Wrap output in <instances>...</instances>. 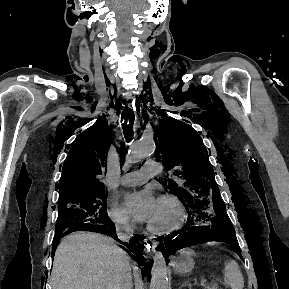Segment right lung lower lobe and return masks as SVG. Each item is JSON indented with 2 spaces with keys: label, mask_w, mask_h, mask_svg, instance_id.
<instances>
[{
  "label": "right lung lower lobe",
  "mask_w": 289,
  "mask_h": 289,
  "mask_svg": "<svg viewBox=\"0 0 289 289\" xmlns=\"http://www.w3.org/2000/svg\"><path fill=\"white\" fill-rule=\"evenodd\" d=\"M74 231H91V232H99L105 235H108L112 237L113 239L121 242L116 234L115 231V225L114 223L109 219V217H102L99 219H88L84 220L81 223H79L77 226L73 227L70 230L71 232ZM69 234V233H68ZM66 235V234H65ZM63 235V236H65ZM54 237L53 242V251H52V257L54 256L56 246L58 245L59 240L63 237ZM123 245L128 247L130 249L129 255L139 264V265H145L143 261L142 251L144 248V245L141 243V236L135 235L131 240L130 243H123ZM148 267V266H147ZM147 267H144L142 271L146 270Z\"/></svg>",
  "instance_id": "1"
}]
</instances>
